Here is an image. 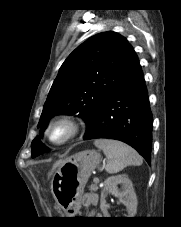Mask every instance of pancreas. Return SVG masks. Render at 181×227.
Instances as JSON below:
<instances>
[{"mask_svg":"<svg viewBox=\"0 0 181 227\" xmlns=\"http://www.w3.org/2000/svg\"><path fill=\"white\" fill-rule=\"evenodd\" d=\"M89 190H90V191H97V190H98V185H97V183L91 184V185L89 186Z\"/></svg>","mask_w":181,"mask_h":227,"instance_id":"obj_1","label":"pancreas"}]
</instances>
